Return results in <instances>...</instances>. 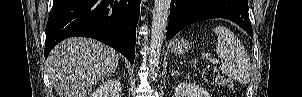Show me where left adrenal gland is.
I'll use <instances>...</instances> for the list:
<instances>
[{
  "label": "left adrenal gland",
  "instance_id": "1",
  "mask_svg": "<svg viewBox=\"0 0 302 97\" xmlns=\"http://www.w3.org/2000/svg\"><path fill=\"white\" fill-rule=\"evenodd\" d=\"M178 74L180 73L176 71L174 67H172L171 76L178 75Z\"/></svg>",
  "mask_w": 302,
  "mask_h": 97
}]
</instances>
